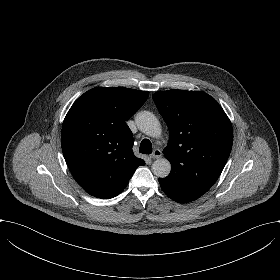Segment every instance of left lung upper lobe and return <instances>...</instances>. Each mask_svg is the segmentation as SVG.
<instances>
[{"mask_svg": "<svg viewBox=\"0 0 280 280\" xmlns=\"http://www.w3.org/2000/svg\"><path fill=\"white\" fill-rule=\"evenodd\" d=\"M152 97L170 133L163 153L172 169L160 179L177 192H207L232 149L229 118L214 98L201 91H158Z\"/></svg>", "mask_w": 280, "mask_h": 280, "instance_id": "obj_1", "label": "left lung upper lobe"}]
</instances>
